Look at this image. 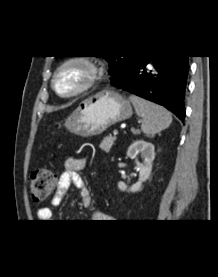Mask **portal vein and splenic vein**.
I'll list each match as a JSON object with an SVG mask.
<instances>
[{"mask_svg": "<svg viewBox=\"0 0 218 277\" xmlns=\"http://www.w3.org/2000/svg\"><path fill=\"white\" fill-rule=\"evenodd\" d=\"M113 134H114V135H117V134H118V131H117V130H114V131H113Z\"/></svg>", "mask_w": 218, "mask_h": 277, "instance_id": "obj_1", "label": "portal vein and splenic vein"}]
</instances>
